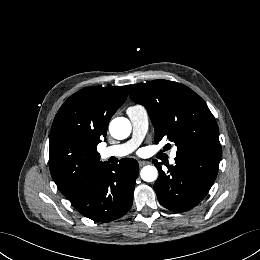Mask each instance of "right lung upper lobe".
Masks as SVG:
<instances>
[{"label":"right lung upper lobe","mask_w":260,"mask_h":260,"mask_svg":"<svg viewBox=\"0 0 260 260\" xmlns=\"http://www.w3.org/2000/svg\"><path fill=\"white\" fill-rule=\"evenodd\" d=\"M126 98L127 86L83 88L56 114L50 132L49 167L58 189L70 201L104 164L96 148Z\"/></svg>","instance_id":"right-lung-upper-lobe-1"}]
</instances>
